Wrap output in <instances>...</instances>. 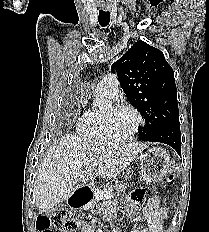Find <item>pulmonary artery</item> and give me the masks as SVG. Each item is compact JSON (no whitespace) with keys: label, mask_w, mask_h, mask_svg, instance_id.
I'll return each instance as SVG.
<instances>
[{"label":"pulmonary artery","mask_w":209,"mask_h":232,"mask_svg":"<svg viewBox=\"0 0 209 232\" xmlns=\"http://www.w3.org/2000/svg\"><path fill=\"white\" fill-rule=\"evenodd\" d=\"M119 90L117 75L109 73L105 75L97 85V92L106 95L108 98H116Z\"/></svg>","instance_id":"e3ab8cb5"}]
</instances>
